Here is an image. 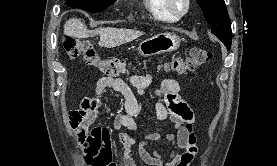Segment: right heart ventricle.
<instances>
[{"mask_svg": "<svg viewBox=\"0 0 277 166\" xmlns=\"http://www.w3.org/2000/svg\"><path fill=\"white\" fill-rule=\"evenodd\" d=\"M144 5L152 17L163 22H173L176 17L166 8L164 0H143Z\"/></svg>", "mask_w": 277, "mask_h": 166, "instance_id": "right-heart-ventricle-1", "label": "right heart ventricle"}]
</instances>
